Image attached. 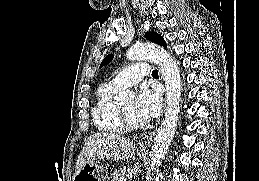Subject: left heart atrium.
<instances>
[{"label": "left heart atrium", "mask_w": 259, "mask_h": 181, "mask_svg": "<svg viewBox=\"0 0 259 181\" xmlns=\"http://www.w3.org/2000/svg\"><path fill=\"white\" fill-rule=\"evenodd\" d=\"M161 109V98L157 90L141 87L135 100V114L141 121H150L158 116Z\"/></svg>", "instance_id": "1"}]
</instances>
